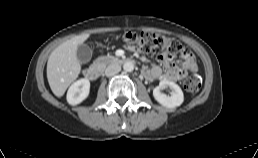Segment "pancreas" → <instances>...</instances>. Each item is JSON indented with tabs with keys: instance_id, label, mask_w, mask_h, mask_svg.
<instances>
[{
	"instance_id": "1",
	"label": "pancreas",
	"mask_w": 258,
	"mask_h": 158,
	"mask_svg": "<svg viewBox=\"0 0 258 158\" xmlns=\"http://www.w3.org/2000/svg\"><path fill=\"white\" fill-rule=\"evenodd\" d=\"M111 57H99L98 59H96L95 63H103V64H108L110 62Z\"/></svg>"
}]
</instances>
